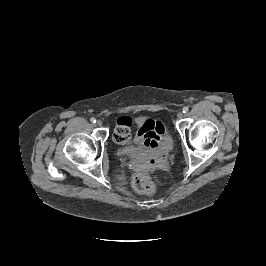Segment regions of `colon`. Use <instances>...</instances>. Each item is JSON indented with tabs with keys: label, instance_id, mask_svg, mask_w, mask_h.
<instances>
[{
	"label": "colon",
	"instance_id": "5ec220e1",
	"mask_svg": "<svg viewBox=\"0 0 266 266\" xmlns=\"http://www.w3.org/2000/svg\"><path fill=\"white\" fill-rule=\"evenodd\" d=\"M133 186L138 192L146 194H153L156 190L155 184L147 171H141L134 176Z\"/></svg>",
	"mask_w": 266,
	"mask_h": 266
}]
</instances>
